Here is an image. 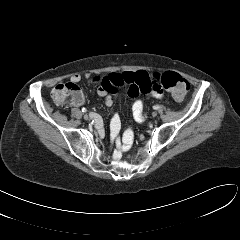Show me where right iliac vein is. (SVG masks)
<instances>
[{
    "mask_svg": "<svg viewBox=\"0 0 240 240\" xmlns=\"http://www.w3.org/2000/svg\"><path fill=\"white\" fill-rule=\"evenodd\" d=\"M84 119L85 120H89L90 119L89 115L88 114H84Z\"/></svg>",
    "mask_w": 240,
    "mask_h": 240,
    "instance_id": "63e3f726",
    "label": "right iliac vein"
}]
</instances>
